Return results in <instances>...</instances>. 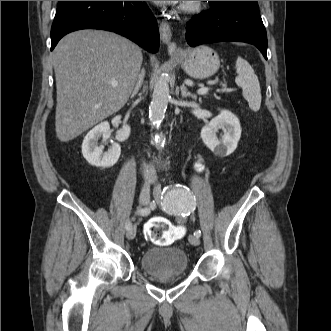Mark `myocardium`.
I'll list each match as a JSON object with an SVG mask.
<instances>
[{
	"mask_svg": "<svg viewBox=\"0 0 331 331\" xmlns=\"http://www.w3.org/2000/svg\"><path fill=\"white\" fill-rule=\"evenodd\" d=\"M199 1H184L181 9L185 12H194L199 9Z\"/></svg>",
	"mask_w": 331,
	"mask_h": 331,
	"instance_id": "myocardium-1",
	"label": "myocardium"
}]
</instances>
